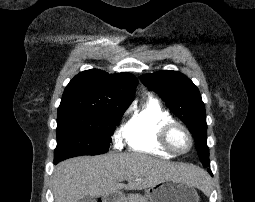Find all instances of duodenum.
<instances>
[{"label": "duodenum", "mask_w": 255, "mask_h": 202, "mask_svg": "<svg viewBox=\"0 0 255 202\" xmlns=\"http://www.w3.org/2000/svg\"><path fill=\"white\" fill-rule=\"evenodd\" d=\"M99 202H118L117 195L114 193L105 194Z\"/></svg>", "instance_id": "410a0bca"}]
</instances>
